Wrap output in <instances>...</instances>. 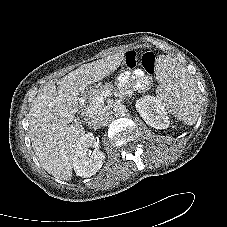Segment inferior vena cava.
<instances>
[{"instance_id": "obj_1", "label": "inferior vena cava", "mask_w": 227, "mask_h": 227, "mask_svg": "<svg viewBox=\"0 0 227 227\" xmlns=\"http://www.w3.org/2000/svg\"><path fill=\"white\" fill-rule=\"evenodd\" d=\"M106 116L103 111L91 115L88 125L93 129H99L105 125Z\"/></svg>"}]
</instances>
